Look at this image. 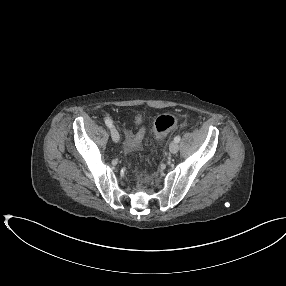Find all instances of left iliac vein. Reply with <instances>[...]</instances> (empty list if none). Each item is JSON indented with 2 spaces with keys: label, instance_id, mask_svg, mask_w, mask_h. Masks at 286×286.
I'll list each match as a JSON object with an SVG mask.
<instances>
[{
  "label": "left iliac vein",
  "instance_id": "left-iliac-vein-1",
  "mask_svg": "<svg viewBox=\"0 0 286 286\" xmlns=\"http://www.w3.org/2000/svg\"><path fill=\"white\" fill-rule=\"evenodd\" d=\"M169 150L172 154H176L179 150V146L175 141H172L169 145Z\"/></svg>",
  "mask_w": 286,
  "mask_h": 286
}]
</instances>
